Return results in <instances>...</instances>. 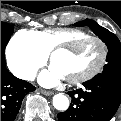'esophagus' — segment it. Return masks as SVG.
Returning a JSON list of instances; mask_svg holds the SVG:
<instances>
[{
    "mask_svg": "<svg viewBox=\"0 0 121 121\" xmlns=\"http://www.w3.org/2000/svg\"><path fill=\"white\" fill-rule=\"evenodd\" d=\"M40 92L43 93L46 96H51V95L54 94L52 91H46V90H40Z\"/></svg>",
    "mask_w": 121,
    "mask_h": 121,
    "instance_id": "1",
    "label": "esophagus"
}]
</instances>
